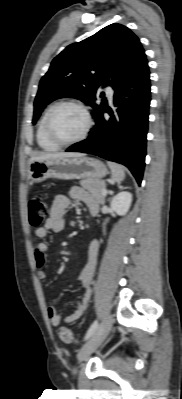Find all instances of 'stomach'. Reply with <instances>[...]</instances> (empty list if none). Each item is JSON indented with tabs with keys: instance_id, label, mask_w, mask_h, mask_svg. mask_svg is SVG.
Instances as JSON below:
<instances>
[{
	"instance_id": "stomach-1",
	"label": "stomach",
	"mask_w": 182,
	"mask_h": 399,
	"mask_svg": "<svg viewBox=\"0 0 182 399\" xmlns=\"http://www.w3.org/2000/svg\"><path fill=\"white\" fill-rule=\"evenodd\" d=\"M107 174L103 162L95 158H49L33 161L29 168V179L40 183L48 178L61 180L100 179Z\"/></svg>"
}]
</instances>
